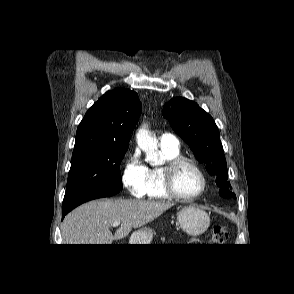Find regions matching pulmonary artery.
<instances>
[{
  "instance_id": "e3ab8cb5",
  "label": "pulmonary artery",
  "mask_w": 294,
  "mask_h": 294,
  "mask_svg": "<svg viewBox=\"0 0 294 294\" xmlns=\"http://www.w3.org/2000/svg\"><path fill=\"white\" fill-rule=\"evenodd\" d=\"M159 144L161 147L171 148V149H177L179 148V142L177 138L170 134V133H164L159 137Z\"/></svg>"
}]
</instances>
